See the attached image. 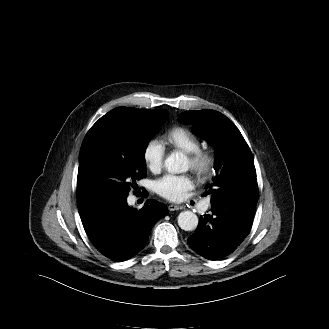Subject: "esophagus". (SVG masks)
<instances>
[{"label": "esophagus", "mask_w": 329, "mask_h": 329, "mask_svg": "<svg viewBox=\"0 0 329 329\" xmlns=\"http://www.w3.org/2000/svg\"><path fill=\"white\" fill-rule=\"evenodd\" d=\"M182 208H183L182 206L175 205V204H171V205L168 206L169 211L180 210Z\"/></svg>", "instance_id": "esophagus-1"}]
</instances>
